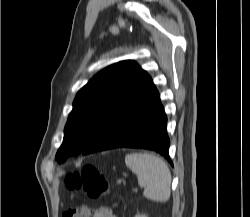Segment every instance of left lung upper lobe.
Segmentation results:
<instances>
[{"label":"left lung upper lobe","instance_id":"1","mask_svg":"<svg viewBox=\"0 0 250 217\" xmlns=\"http://www.w3.org/2000/svg\"><path fill=\"white\" fill-rule=\"evenodd\" d=\"M148 76L134 61L113 64L94 76L76 95L57 151L58 162L83 153Z\"/></svg>","mask_w":250,"mask_h":217}]
</instances>
